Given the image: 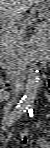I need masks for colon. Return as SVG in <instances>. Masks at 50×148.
I'll list each match as a JSON object with an SVG mask.
<instances>
[{
  "label": "colon",
  "instance_id": "5ec220e1",
  "mask_svg": "<svg viewBox=\"0 0 50 148\" xmlns=\"http://www.w3.org/2000/svg\"><path fill=\"white\" fill-rule=\"evenodd\" d=\"M2 93L5 94V93H6V89H3V90H2Z\"/></svg>",
  "mask_w": 50,
  "mask_h": 148
}]
</instances>
